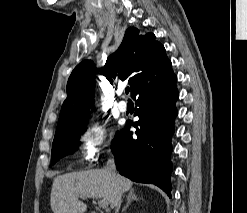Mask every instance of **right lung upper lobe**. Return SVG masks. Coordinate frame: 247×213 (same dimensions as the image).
<instances>
[{
    "mask_svg": "<svg viewBox=\"0 0 247 213\" xmlns=\"http://www.w3.org/2000/svg\"><path fill=\"white\" fill-rule=\"evenodd\" d=\"M171 67L164 46L155 40L153 33L142 35L130 27L118 50L108 57L102 74L112 84V79H129L131 96L137 89ZM95 68L93 62H81L72 71L67 83V98L64 101L56 129L59 131L85 124L94 92Z\"/></svg>",
    "mask_w": 247,
    "mask_h": 213,
    "instance_id": "cb5924a9",
    "label": "right lung upper lobe"
}]
</instances>
